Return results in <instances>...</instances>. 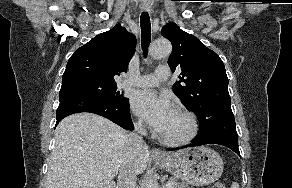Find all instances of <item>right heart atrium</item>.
Segmentation results:
<instances>
[{"mask_svg":"<svg viewBox=\"0 0 292 188\" xmlns=\"http://www.w3.org/2000/svg\"><path fill=\"white\" fill-rule=\"evenodd\" d=\"M135 126L138 128V129H142L143 128V125L140 121H137L135 122Z\"/></svg>","mask_w":292,"mask_h":188,"instance_id":"d8ad5b80","label":"right heart atrium"}]
</instances>
